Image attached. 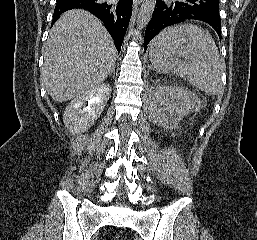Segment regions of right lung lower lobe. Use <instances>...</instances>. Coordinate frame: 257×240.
Wrapping results in <instances>:
<instances>
[{
  "label": "right lung lower lobe",
  "instance_id": "obj_1",
  "mask_svg": "<svg viewBox=\"0 0 257 240\" xmlns=\"http://www.w3.org/2000/svg\"><path fill=\"white\" fill-rule=\"evenodd\" d=\"M82 8L99 18L112 36L120 52L132 13V0H57L52 25L67 10Z\"/></svg>",
  "mask_w": 257,
  "mask_h": 240
}]
</instances>
